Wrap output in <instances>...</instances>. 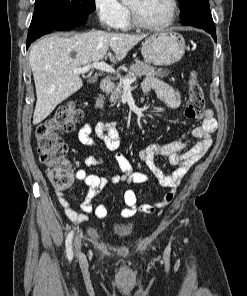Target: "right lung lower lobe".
Returning a JSON list of instances; mask_svg holds the SVG:
<instances>
[{
  "label": "right lung lower lobe",
  "instance_id": "right-lung-lower-lobe-1",
  "mask_svg": "<svg viewBox=\"0 0 247 296\" xmlns=\"http://www.w3.org/2000/svg\"><path fill=\"white\" fill-rule=\"evenodd\" d=\"M87 19L88 16L81 19H69L58 15H50L42 20L31 22L26 46L28 48L33 41L54 30H69L75 26L83 25Z\"/></svg>",
  "mask_w": 247,
  "mask_h": 296
}]
</instances>
